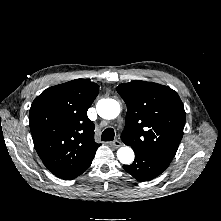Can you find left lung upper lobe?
<instances>
[{
    "label": "left lung upper lobe",
    "instance_id": "5c2ea615",
    "mask_svg": "<svg viewBox=\"0 0 221 221\" xmlns=\"http://www.w3.org/2000/svg\"><path fill=\"white\" fill-rule=\"evenodd\" d=\"M117 92L127 105L122 141L133 149L172 160L186 118L178 94L168 86L140 80L120 84Z\"/></svg>",
    "mask_w": 221,
    "mask_h": 221
}]
</instances>
